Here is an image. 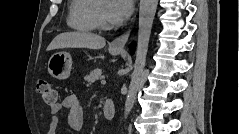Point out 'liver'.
<instances>
[{
    "label": "liver",
    "instance_id": "1",
    "mask_svg": "<svg viewBox=\"0 0 239 134\" xmlns=\"http://www.w3.org/2000/svg\"><path fill=\"white\" fill-rule=\"evenodd\" d=\"M106 44L105 38L86 32H66L57 35L49 44L47 50L62 48L100 49Z\"/></svg>",
    "mask_w": 239,
    "mask_h": 134
}]
</instances>
